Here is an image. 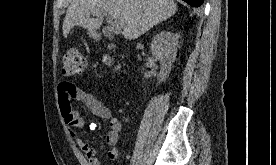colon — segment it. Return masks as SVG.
<instances>
[{
	"label": "colon",
	"mask_w": 276,
	"mask_h": 165,
	"mask_svg": "<svg viewBox=\"0 0 276 165\" xmlns=\"http://www.w3.org/2000/svg\"><path fill=\"white\" fill-rule=\"evenodd\" d=\"M110 61V58L106 59ZM87 67L85 57L77 50H69L63 56L62 72L66 76H76L81 74Z\"/></svg>",
	"instance_id": "1"
}]
</instances>
